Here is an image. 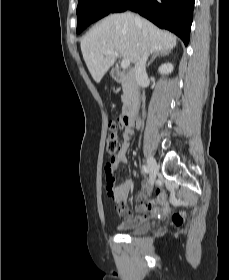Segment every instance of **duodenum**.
<instances>
[{
	"mask_svg": "<svg viewBox=\"0 0 229 280\" xmlns=\"http://www.w3.org/2000/svg\"><path fill=\"white\" fill-rule=\"evenodd\" d=\"M113 78L116 82L128 84V97L124 105L123 121L125 126L130 127L136 121V113L141 102L140 86L136 82V75L133 71L115 70Z\"/></svg>",
	"mask_w": 229,
	"mask_h": 280,
	"instance_id": "obj_1",
	"label": "duodenum"
}]
</instances>
